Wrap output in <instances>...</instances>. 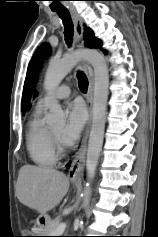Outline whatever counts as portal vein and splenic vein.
<instances>
[{
  "label": "portal vein and splenic vein",
  "instance_id": "portal-vein-and-splenic-vein-1",
  "mask_svg": "<svg viewBox=\"0 0 158 237\" xmlns=\"http://www.w3.org/2000/svg\"><path fill=\"white\" fill-rule=\"evenodd\" d=\"M66 226H67L66 222L59 224L57 228L58 233H62L65 230Z\"/></svg>",
  "mask_w": 158,
  "mask_h": 237
}]
</instances>
